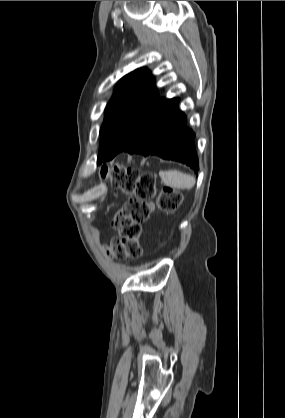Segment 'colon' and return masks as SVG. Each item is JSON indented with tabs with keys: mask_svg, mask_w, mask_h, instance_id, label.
I'll return each mask as SVG.
<instances>
[{
	"mask_svg": "<svg viewBox=\"0 0 285 418\" xmlns=\"http://www.w3.org/2000/svg\"><path fill=\"white\" fill-rule=\"evenodd\" d=\"M100 175L111 179L129 196L114 219L117 235L103 246L104 252L108 257L139 259L143 254L141 224L156 208L175 211L182 202V193L169 187H162L157 193L152 174H138L118 164L102 167Z\"/></svg>",
	"mask_w": 285,
	"mask_h": 418,
	"instance_id": "colon-1",
	"label": "colon"
}]
</instances>
